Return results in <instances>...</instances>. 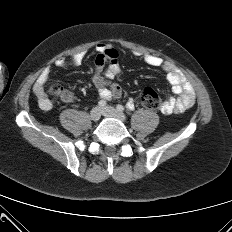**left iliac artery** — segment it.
I'll list each match as a JSON object with an SVG mask.
<instances>
[{
  "label": "left iliac artery",
  "mask_w": 232,
  "mask_h": 232,
  "mask_svg": "<svg viewBox=\"0 0 232 232\" xmlns=\"http://www.w3.org/2000/svg\"><path fill=\"white\" fill-rule=\"evenodd\" d=\"M117 110L118 111H124V107L122 106V105H117ZM127 108L129 109V110H133L134 109V103H132V104H128L127 103Z\"/></svg>",
  "instance_id": "left-iliac-artery-1"
}]
</instances>
